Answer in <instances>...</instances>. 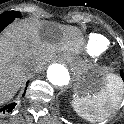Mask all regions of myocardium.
<instances>
[{
	"mask_svg": "<svg viewBox=\"0 0 124 124\" xmlns=\"http://www.w3.org/2000/svg\"><path fill=\"white\" fill-rule=\"evenodd\" d=\"M114 59V53L113 52H107L105 53L104 57H103V61L106 63L111 62Z\"/></svg>",
	"mask_w": 124,
	"mask_h": 124,
	"instance_id": "1",
	"label": "myocardium"
}]
</instances>
